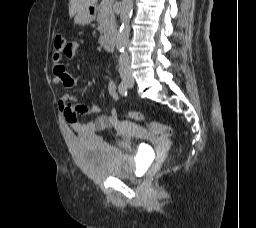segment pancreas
Segmentation results:
<instances>
[{
    "instance_id": "pancreas-1",
    "label": "pancreas",
    "mask_w": 256,
    "mask_h": 228,
    "mask_svg": "<svg viewBox=\"0 0 256 228\" xmlns=\"http://www.w3.org/2000/svg\"><path fill=\"white\" fill-rule=\"evenodd\" d=\"M114 0L109 1L102 0L98 8L97 21L99 23L98 30L102 34H106L115 27V16L112 9Z\"/></svg>"
}]
</instances>
